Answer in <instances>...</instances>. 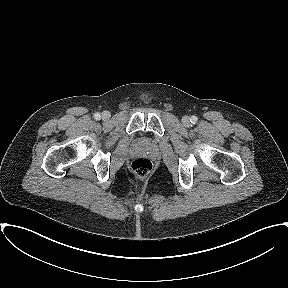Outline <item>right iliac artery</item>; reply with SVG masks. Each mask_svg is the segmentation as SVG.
Returning a JSON list of instances; mask_svg holds the SVG:
<instances>
[{
    "mask_svg": "<svg viewBox=\"0 0 288 288\" xmlns=\"http://www.w3.org/2000/svg\"><path fill=\"white\" fill-rule=\"evenodd\" d=\"M94 118H95L96 120H99V119L101 118V116H100L99 113H96V114L94 115Z\"/></svg>",
    "mask_w": 288,
    "mask_h": 288,
    "instance_id": "1",
    "label": "right iliac artery"
}]
</instances>
